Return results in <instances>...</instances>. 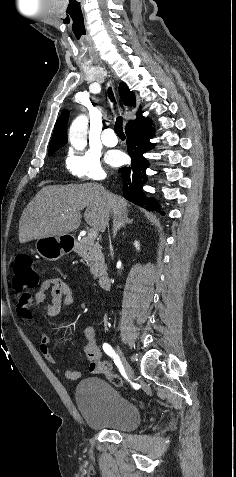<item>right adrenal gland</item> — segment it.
<instances>
[{
	"instance_id": "right-adrenal-gland-1",
	"label": "right adrenal gland",
	"mask_w": 236,
	"mask_h": 477,
	"mask_svg": "<svg viewBox=\"0 0 236 477\" xmlns=\"http://www.w3.org/2000/svg\"><path fill=\"white\" fill-rule=\"evenodd\" d=\"M133 222V219L128 218V212H125L124 214L120 216H114L113 218V238L116 237L117 232L120 230V228L124 227L126 224H131Z\"/></svg>"
}]
</instances>
